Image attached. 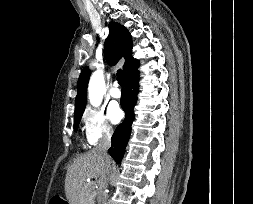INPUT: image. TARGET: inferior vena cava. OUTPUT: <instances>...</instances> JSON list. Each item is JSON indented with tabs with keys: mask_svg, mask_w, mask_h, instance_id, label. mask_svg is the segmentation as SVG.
Segmentation results:
<instances>
[{
	"mask_svg": "<svg viewBox=\"0 0 253 204\" xmlns=\"http://www.w3.org/2000/svg\"><path fill=\"white\" fill-rule=\"evenodd\" d=\"M111 136L112 132L108 129L106 130L105 134L103 137L100 139L99 144L97 146V149L103 154V156L108 157L107 150L111 146ZM111 170V164L107 163V166L104 170V173L102 174L101 177V182H100V190L98 192V204H106L107 200V193H106V188H107V176L109 175Z\"/></svg>",
	"mask_w": 253,
	"mask_h": 204,
	"instance_id": "1",
	"label": "inferior vena cava"
}]
</instances>
